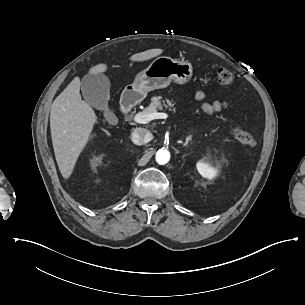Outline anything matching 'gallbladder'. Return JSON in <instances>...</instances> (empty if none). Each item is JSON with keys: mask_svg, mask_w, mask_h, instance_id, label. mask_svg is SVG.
<instances>
[{"mask_svg": "<svg viewBox=\"0 0 305 305\" xmlns=\"http://www.w3.org/2000/svg\"><path fill=\"white\" fill-rule=\"evenodd\" d=\"M110 80L101 73H88L81 80V90L84 100L92 107L103 110L107 121L115 115L109 111Z\"/></svg>", "mask_w": 305, "mask_h": 305, "instance_id": "gallbladder-1", "label": "gallbladder"}]
</instances>
